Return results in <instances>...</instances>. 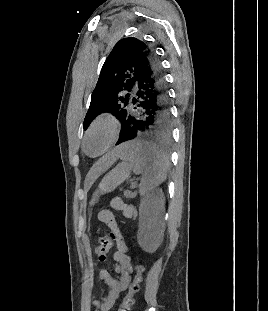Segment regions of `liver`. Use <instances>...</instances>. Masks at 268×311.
I'll return each instance as SVG.
<instances>
[{
    "mask_svg": "<svg viewBox=\"0 0 268 311\" xmlns=\"http://www.w3.org/2000/svg\"><path fill=\"white\" fill-rule=\"evenodd\" d=\"M124 146H120L101 159L97 161V163L92 167L88 174V178L91 180H95L98 178L99 175H101L103 172H105L110 166L113 165V163L118 159V157L121 156V153L123 151Z\"/></svg>",
    "mask_w": 268,
    "mask_h": 311,
    "instance_id": "liver-1",
    "label": "liver"
}]
</instances>
